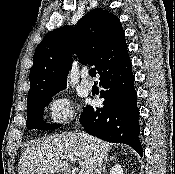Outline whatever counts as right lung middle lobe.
Instances as JSON below:
<instances>
[{"label": "right lung middle lobe", "instance_id": "obj_1", "mask_svg": "<svg viewBox=\"0 0 175 174\" xmlns=\"http://www.w3.org/2000/svg\"><path fill=\"white\" fill-rule=\"evenodd\" d=\"M57 93V92H55ZM55 93H51L42 96L38 99L27 102V129H43V130H54L60 127V125L53 124L48 125L43 121L44 108L51 101L52 96Z\"/></svg>", "mask_w": 175, "mask_h": 174}]
</instances>
